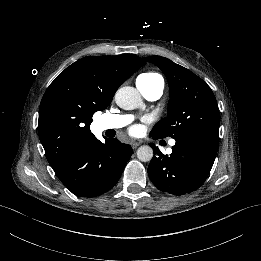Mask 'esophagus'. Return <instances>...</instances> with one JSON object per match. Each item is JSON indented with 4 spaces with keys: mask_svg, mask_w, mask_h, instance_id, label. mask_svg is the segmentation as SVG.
I'll return each mask as SVG.
<instances>
[{
    "mask_svg": "<svg viewBox=\"0 0 261 261\" xmlns=\"http://www.w3.org/2000/svg\"><path fill=\"white\" fill-rule=\"evenodd\" d=\"M141 144H142V141H137V142L131 143L133 149H136Z\"/></svg>",
    "mask_w": 261,
    "mask_h": 261,
    "instance_id": "1",
    "label": "esophagus"
}]
</instances>
